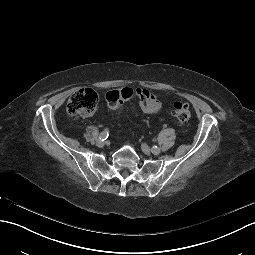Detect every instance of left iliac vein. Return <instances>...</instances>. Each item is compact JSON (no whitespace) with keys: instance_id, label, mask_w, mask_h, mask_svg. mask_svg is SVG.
<instances>
[{"instance_id":"4c4485c4","label":"left iliac vein","mask_w":255,"mask_h":255,"mask_svg":"<svg viewBox=\"0 0 255 255\" xmlns=\"http://www.w3.org/2000/svg\"><path fill=\"white\" fill-rule=\"evenodd\" d=\"M142 151L146 154V155H150L151 153V149L149 148V146L145 143H143L141 145ZM161 152L160 148L157 149V151L155 152L156 155H158Z\"/></svg>"}]
</instances>
